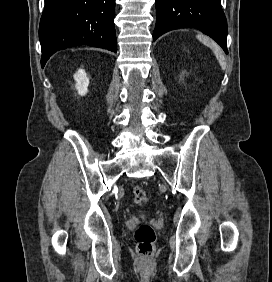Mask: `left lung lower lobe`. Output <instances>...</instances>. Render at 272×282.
Returning <instances> with one entry per match:
<instances>
[{
	"label": "left lung lower lobe",
	"mask_w": 272,
	"mask_h": 282,
	"mask_svg": "<svg viewBox=\"0 0 272 282\" xmlns=\"http://www.w3.org/2000/svg\"><path fill=\"white\" fill-rule=\"evenodd\" d=\"M221 0H156L153 40L178 28L194 27L213 38L227 54V21Z\"/></svg>",
	"instance_id": "obj_1"
}]
</instances>
